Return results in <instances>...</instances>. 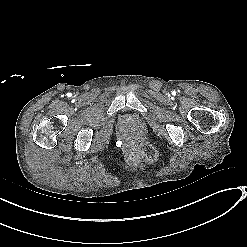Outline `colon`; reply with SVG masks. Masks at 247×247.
Here are the masks:
<instances>
[{
    "mask_svg": "<svg viewBox=\"0 0 247 247\" xmlns=\"http://www.w3.org/2000/svg\"><path fill=\"white\" fill-rule=\"evenodd\" d=\"M139 157L137 160L146 161L148 163H153L157 160L156 149L147 142H140L138 144Z\"/></svg>",
    "mask_w": 247,
    "mask_h": 247,
    "instance_id": "1",
    "label": "colon"
}]
</instances>
